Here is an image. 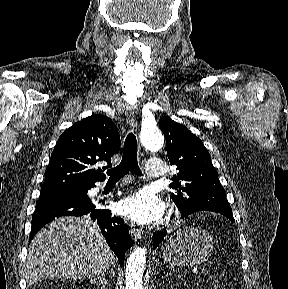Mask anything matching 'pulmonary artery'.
<instances>
[{
  "instance_id": "e3ab8cb5",
  "label": "pulmonary artery",
  "mask_w": 288,
  "mask_h": 289,
  "mask_svg": "<svg viewBox=\"0 0 288 289\" xmlns=\"http://www.w3.org/2000/svg\"><path fill=\"white\" fill-rule=\"evenodd\" d=\"M145 173L151 178H161L165 175V164L160 159H149L145 164Z\"/></svg>"
}]
</instances>
